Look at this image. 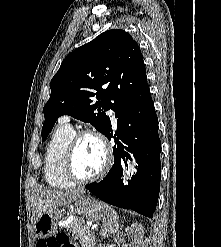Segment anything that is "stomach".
Masks as SVG:
<instances>
[{
  "label": "stomach",
  "mask_w": 221,
  "mask_h": 247,
  "mask_svg": "<svg viewBox=\"0 0 221 247\" xmlns=\"http://www.w3.org/2000/svg\"><path fill=\"white\" fill-rule=\"evenodd\" d=\"M71 212L81 216L82 219L96 221L107 215V205L91 197L80 196L69 205ZM65 209L45 211L34 224V233L38 238H46L55 234L58 222L64 217Z\"/></svg>",
  "instance_id": "obj_1"
}]
</instances>
